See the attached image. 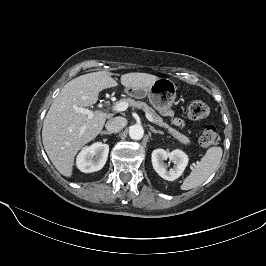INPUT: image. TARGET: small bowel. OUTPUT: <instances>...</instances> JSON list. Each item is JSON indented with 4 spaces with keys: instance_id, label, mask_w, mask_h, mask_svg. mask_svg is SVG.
Masks as SVG:
<instances>
[{
    "instance_id": "small-bowel-1",
    "label": "small bowel",
    "mask_w": 266,
    "mask_h": 266,
    "mask_svg": "<svg viewBox=\"0 0 266 266\" xmlns=\"http://www.w3.org/2000/svg\"><path fill=\"white\" fill-rule=\"evenodd\" d=\"M167 114H168V115H171L170 112H167ZM172 121H173V123H174L175 125H177V126H183V121H182L181 119H179V118H175V117H173V118H172Z\"/></svg>"
}]
</instances>
